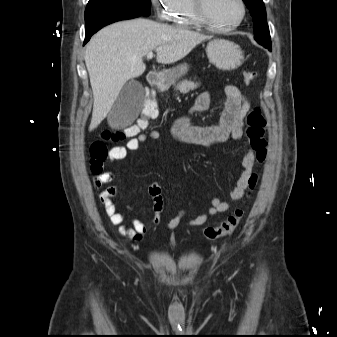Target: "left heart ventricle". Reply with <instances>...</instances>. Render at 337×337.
<instances>
[{"label":"left heart ventricle","mask_w":337,"mask_h":337,"mask_svg":"<svg viewBox=\"0 0 337 337\" xmlns=\"http://www.w3.org/2000/svg\"><path fill=\"white\" fill-rule=\"evenodd\" d=\"M205 9L211 21L223 26L235 23L241 15L238 0H205Z\"/></svg>","instance_id":"obj_1"}]
</instances>
